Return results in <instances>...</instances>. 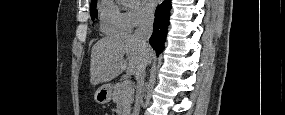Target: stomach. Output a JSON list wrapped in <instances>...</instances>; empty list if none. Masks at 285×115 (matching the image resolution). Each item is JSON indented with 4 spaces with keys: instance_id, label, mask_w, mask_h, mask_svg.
I'll return each mask as SVG.
<instances>
[{
    "instance_id": "stomach-1",
    "label": "stomach",
    "mask_w": 285,
    "mask_h": 115,
    "mask_svg": "<svg viewBox=\"0 0 285 115\" xmlns=\"http://www.w3.org/2000/svg\"><path fill=\"white\" fill-rule=\"evenodd\" d=\"M112 89L111 85H103L94 94V99L98 104L104 105L110 102L112 97Z\"/></svg>"
}]
</instances>
